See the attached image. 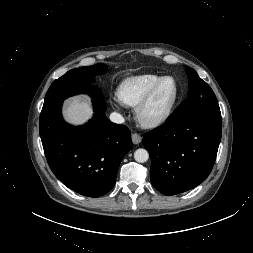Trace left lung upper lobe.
<instances>
[{"label": "left lung upper lobe", "mask_w": 253, "mask_h": 253, "mask_svg": "<svg viewBox=\"0 0 253 253\" xmlns=\"http://www.w3.org/2000/svg\"><path fill=\"white\" fill-rule=\"evenodd\" d=\"M185 70L189 80L188 97L178 106L168 120L173 121L200 114L221 116L216 96L210 86L192 68L186 66Z\"/></svg>", "instance_id": "obj_1"}]
</instances>
